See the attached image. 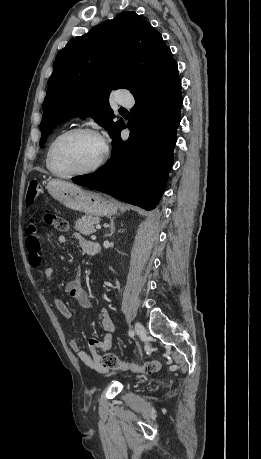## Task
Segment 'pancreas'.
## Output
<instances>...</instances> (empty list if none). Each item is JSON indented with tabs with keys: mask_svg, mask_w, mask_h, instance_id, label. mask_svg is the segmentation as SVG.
<instances>
[{
	"mask_svg": "<svg viewBox=\"0 0 261 459\" xmlns=\"http://www.w3.org/2000/svg\"><path fill=\"white\" fill-rule=\"evenodd\" d=\"M99 222L100 218L98 217L84 215L75 222L74 228L83 235H90L96 232L94 225Z\"/></svg>",
	"mask_w": 261,
	"mask_h": 459,
	"instance_id": "1",
	"label": "pancreas"
}]
</instances>
